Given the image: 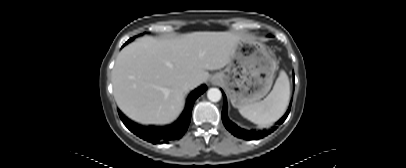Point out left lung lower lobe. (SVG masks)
<instances>
[{
  "label": "left lung lower lobe",
  "instance_id": "left-lung-lower-lobe-1",
  "mask_svg": "<svg viewBox=\"0 0 406 168\" xmlns=\"http://www.w3.org/2000/svg\"><path fill=\"white\" fill-rule=\"evenodd\" d=\"M223 96H224V106L222 109V121H223V124L226 127V129L229 132H231L234 136L244 138L247 140H257V139H260L263 136L267 135L268 133H270V132H266V131H259V132L247 131V130H244V129L238 127L233 122H231L227 116V101H226V97H225L224 93H223ZM291 104H292V102L290 103L289 109L287 110L285 115L277 122V124H282L285 121V119L287 118V116L290 112Z\"/></svg>",
  "mask_w": 406,
  "mask_h": 168
}]
</instances>
